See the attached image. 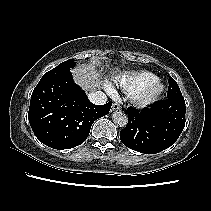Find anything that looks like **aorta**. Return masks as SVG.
Masks as SVG:
<instances>
[{
    "instance_id": "1",
    "label": "aorta",
    "mask_w": 211,
    "mask_h": 211,
    "mask_svg": "<svg viewBox=\"0 0 211 211\" xmlns=\"http://www.w3.org/2000/svg\"><path fill=\"white\" fill-rule=\"evenodd\" d=\"M113 121L120 127H125L128 123V118L125 113L116 111L112 115Z\"/></svg>"
}]
</instances>
